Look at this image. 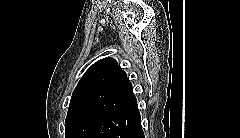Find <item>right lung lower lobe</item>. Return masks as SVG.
Returning <instances> with one entry per match:
<instances>
[{
    "mask_svg": "<svg viewBox=\"0 0 240 138\" xmlns=\"http://www.w3.org/2000/svg\"><path fill=\"white\" fill-rule=\"evenodd\" d=\"M86 138H145L137 100L110 113Z\"/></svg>",
    "mask_w": 240,
    "mask_h": 138,
    "instance_id": "obj_1",
    "label": "right lung lower lobe"
}]
</instances>
